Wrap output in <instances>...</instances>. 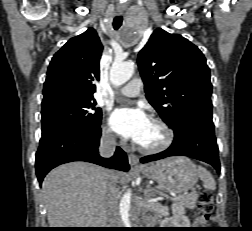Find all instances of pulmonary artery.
Masks as SVG:
<instances>
[{
	"label": "pulmonary artery",
	"mask_w": 252,
	"mask_h": 231,
	"mask_svg": "<svg viewBox=\"0 0 252 231\" xmlns=\"http://www.w3.org/2000/svg\"><path fill=\"white\" fill-rule=\"evenodd\" d=\"M142 89V81L140 79H132L126 83L121 89L120 94L128 97H136Z\"/></svg>",
	"instance_id": "pulmonary-artery-1"
}]
</instances>
